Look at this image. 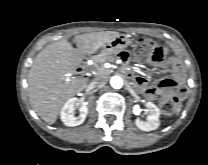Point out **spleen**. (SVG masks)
I'll return each mask as SVG.
<instances>
[{
	"instance_id": "spleen-1",
	"label": "spleen",
	"mask_w": 208,
	"mask_h": 165,
	"mask_svg": "<svg viewBox=\"0 0 208 165\" xmlns=\"http://www.w3.org/2000/svg\"><path fill=\"white\" fill-rule=\"evenodd\" d=\"M180 110H181V109H180V108H178L177 113H179V112H180Z\"/></svg>"
}]
</instances>
